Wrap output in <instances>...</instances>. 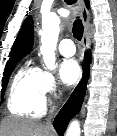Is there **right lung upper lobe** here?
I'll return each mask as SVG.
<instances>
[{"label":"right lung upper lobe","mask_w":117,"mask_h":136,"mask_svg":"<svg viewBox=\"0 0 117 136\" xmlns=\"http://www.w3.org/2000/svg\"><path fill=\"white\" fill-rule=\"evenodd\" d=\"M87 8L89 7V0H84ZM33 20L29 16L24 21L17 38L11 49L9 60L13 59H22L32 48L33 46Z\"/></svg>","instance_id":"obj_1"}]
</instances>
